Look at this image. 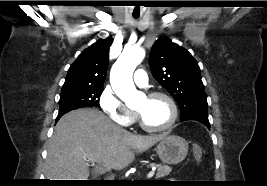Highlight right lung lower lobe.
Wrapping results in <instances>:
<instances>
[{"label":"right lung lower lobe","mask_w":267,"mask_h":186,"mask_svg":"<svg viewBox=\"0 0 267 186\" xmlns=\"http://www.w3.org/2000/svg\"><path fill=\"white\" fill-rule=\"evenodd\" d=\"M65 113H59L57 118H56V122L64 115Z\"/></svg>","instance_id":"obj_1"}]
</instances>
